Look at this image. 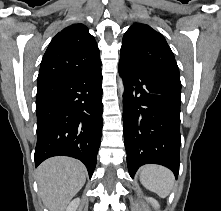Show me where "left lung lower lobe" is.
Here are the masks:
<instances>
[{
    "instance_id": "obj_1",
    "label": "left lung lower lobe",
    "mask_w": 221,
    "mask_h": 211,
    "mask_svg": "<svg viewBox=\"0 0 221 211\" xmlns=\"http://www.w3.org/2000/svg\"><path fill=\"white\" fill-rule=\"evenodd\" d=\"M123 78L124 141L133 178L144 164L163 165L177 178L180 164L181 83L119 61Z\"/></svg>"
}]
</instances>
